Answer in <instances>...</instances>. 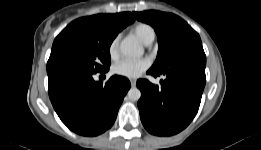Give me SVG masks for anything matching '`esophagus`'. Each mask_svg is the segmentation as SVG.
<instances>
[{
	"instance_id": "1",
	"label": "esophagus",
	"mask_w": 261,
	"mask_h": 150,
	"mask_svg": "<svg viewBox=\"0 0 261 150\" xmlns=\"http://www.w3.org/2000/svg\"><path fill=\"white\" fill-rule=\"evenodd\" d=\"M130 83L132 87L136 86V80L135 79H130Z\"/></svg>"
}]
</instances>
